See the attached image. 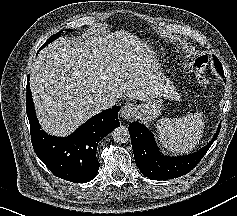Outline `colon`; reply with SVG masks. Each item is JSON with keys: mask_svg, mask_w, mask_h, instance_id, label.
I'll list each match as a JSON object with an SVG mask.
<instances>
[{"mask_svg": "<svg viewBox=\"0 0 237 216\" xmlns=\"http://www.w3.org/2000/svg\"><path fill=\"white\" fill-rule=\"evenodd\" d=\"M208 59L205 56H199L188 63L190 69L205 75L207 70Z\"/></svg>", "mask_w": 237, "mask_h": 216, "instance_id": "colon-1", "label": "colon"}]
</instances>
